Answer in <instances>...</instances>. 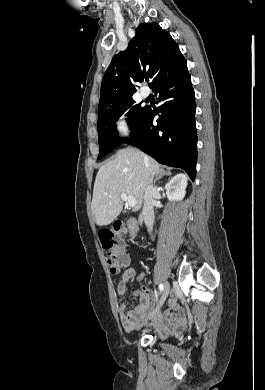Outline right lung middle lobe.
<instances>
[{
	"label": "right lung middle lobe",
	"mask_w": 265,
	"mask_h": 390,
	"mask_svg": "<svg viewBox=\"0 0 265 390\" xmlns=\"http://www.w3.org/2000/svg\"><path fill=\"white\" fill-rule=\"evenodd\" d=\"M147 109L148 106L142 107L141 104H136L133 99H129L98 113L97 125L100 148L98 159L103 158L126 140V138L121 139L118 136L116 130L118 118L123 114L128 116L130 118L128 125L131 126L133 132L145 117Z\"/></svg>",
	"instance_id": "dd1d6c3e"
}]
</instances>
